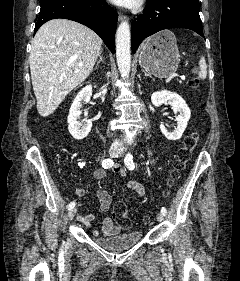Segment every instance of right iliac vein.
I'll return each instance as SVG.
<instances>
[{
    "instance_id": "right-iliac-vein-1",
    "label": "right iliac vein",
    "mask_w": 240,
    "mask_h": 281,
    "mask_svg": "<svg viewBox=\"0 0 240 281\" xmlns=\"http://www.w3.org/2000/svg\"><path fill=\"white\" fill-rule=\"evenodd\" d=\"M118 152H119V148L116 146H111L108 151V153L111 157H114L115 155H117ZM76 212H77L76 208H72L69 211L68 217L70 220H72L74 218Z\"/></svg>"
}]
</instances>
